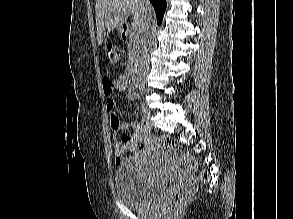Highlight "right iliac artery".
Instances as JSON below:
<instances>
[{"mask_svg": "<svg viewBox=\"0 0 293 219\" xmlns=\"http://www.w3.org/2000/svg\"><path fill=\"white\" fill-rule=\"evenodd\" d=\"M141 127H142L143 130H145V131L148 130V124H147V122H146L144 119L141 120Z\"/></svg>", "mask_w": 293, "mask_h": 219, "instance_id": "82829eb1", "label": "right iliac artery"}]
</instances>
